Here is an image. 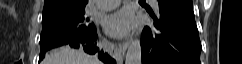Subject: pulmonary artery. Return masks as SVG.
I'll list each match as a JSON object with an SVG mask.
<instances>
[{
  "label": "pulmonary artery",
  "mask_w": 242,
  "mask_h": 64,
  "mask_svg": "<svg viewBox=\"0 0 242 64\" xmlns=\"http://www.w3.org/2000/svg\"><path fill=\"white\" fill-rule=\"evenodd\" d=\"M121 0H100L98 2V7L102 10H111L119 6ZM153 5L157 7L158 3L156 0H151Z\"/></svg>",
  "instance_id": "1"
}]
</instances>
